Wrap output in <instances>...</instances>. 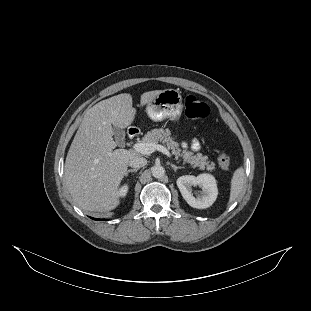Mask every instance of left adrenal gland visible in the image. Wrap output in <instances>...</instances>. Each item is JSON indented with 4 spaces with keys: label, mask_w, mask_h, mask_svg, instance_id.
I'll return each instance as SVG.
<instances>
[{
    "label": "left adrenal gland",
    "mask_w": 311,
    "mask_h": 311,
    "mask_svg": "<svg viewBox=\"0 0 311 311\" xmlns=\"http://www.w3.org/2000/svg\"><path fill=\"white\" fill-rule=\"evenodd\" d=\"M170 165H171V167L173 168L174 171H177V169H182V168H184V167H181V166H176V165H174V164H170Z\"/></svg>",
    "instance_id": "obj_1"
}]
</instances>
